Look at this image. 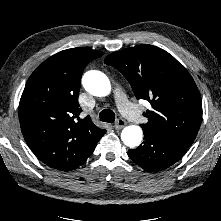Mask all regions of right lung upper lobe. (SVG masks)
Masks as SVG:
<instances>
[{"label": "right lung upper lobe", "instance_id": "right-lung-upper-lobe-1", "mask_svg": "<svg viewBox=\"0 0 221 221\" xmlns=\"http://www.w3.org/2000/svg\"><path fill=\"white\" fill-rule=\"evenodd\" d=\"M103 52L63 50L44 61L28 79L19 103L26 143L51 168L71 171L83 164L106 133L90 116L79 117L80 80L85 66Z\"/></svg>", "mask_w": 221, "mask_h": 221}]
</instances>
